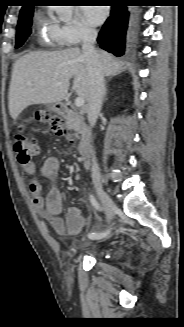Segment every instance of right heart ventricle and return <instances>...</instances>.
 I'll use <instances>...</instances> for the list:
<instances>
[{"mask_svg": "<svg viewBox=\"0 0 184 327\" xmlns=\"http://www.w3.org/2000/svg\"><path fill=\"white\" fill-rule=\"evenodd\" d=\"M38 26L41 40L47 44H54L56 42L55 31L57 25L44 18H40Z\"/></svg>", "mask_w": 184, "mask_h": 327, "instance_id": "right-heart-ventricle-1", "label": "right heart ventricle"}]
</instances>
